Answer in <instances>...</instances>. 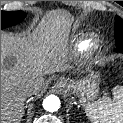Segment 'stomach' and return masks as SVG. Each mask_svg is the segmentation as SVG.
I'll list each match as a JSON object with an SVG mask.
<instances>
[{
	"instance_id": "0dacf381",
	"label": "stomach",
	"mask_w": 123,
	"mask_h": 123,
	"mask_svg": "<svg viewBox=\"0 0 123 123\" xmlns=\"http://www.w3.org/2000/svg\"><path fill=\"white\" fill-rule=\"evenodd\" d=\"M99 75L91 73L82 80L61 77L56 86L67 94L78 95L81 104L93 100L98 92Z\"/></svg>"
}]
</instances>
